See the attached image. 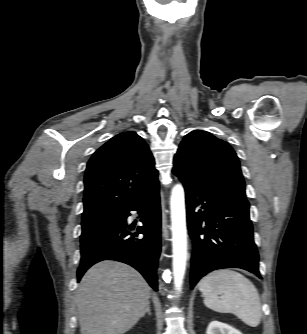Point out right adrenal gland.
I'll use <instances>...</instances> for the list:
<instances>
[{
  "label": "right adrenal gland",
  "instance_id": "1",
  "mask_svg": "<svg viewBox=\"0 0 307 334\" xmlns=\"http://www.w3.org/2000/svg\"><path fill=\"white\" fill-rule=\"evenodd\" d=\"M151 315V310H150V303L147 305L145 311L143 312L142 317H144L145 314Z\"/></svg>",
  "mask_w": 307,
  "mask_h": 334
}]
</instances>
